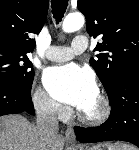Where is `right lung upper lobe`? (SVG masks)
<instances>
[{
    "label": "right lung upper lobe",
    "mask_w": 139,
    "mask_h": 150,
    "mask_svg": "<svg viewBox=\"0 0 139 150\" xmlns=\"http://www.w3.org/2000/svg\"><path fill=\"white\" fill-rule=\"evenodd\" d=\"M49 0H0V48L30 53L45 23Z\"/></svg>",
    "instance_id": "obj_1"
}]
</instances>
